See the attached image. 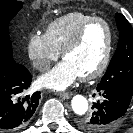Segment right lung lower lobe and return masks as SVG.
Masks as SVG:
<instances>
[{
	"mask_svg": "<svg viewBox=\"0 0 133 133\" xmlns=\"http://www.w3.org/2000/svg\"><path fill=\"white\" fill-rule=\"evenodd\" d=\"M32 81L30 72L21 64L0 67V130L23 127L35 112L40 92L25 95Z\"/></svg>",
	"mask_w": 133,
	"mask_h": 133,
	"instance_id": "98d812e1",
	"label": "right lung lower lobe"
}]
</instances>
